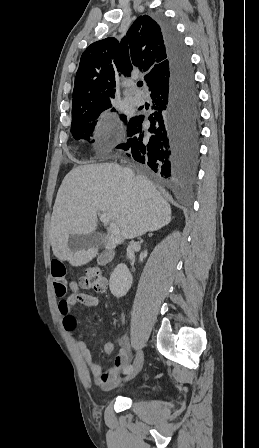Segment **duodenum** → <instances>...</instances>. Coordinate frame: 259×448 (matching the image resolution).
Masks as SVG:
<instances>
[{
  "label": "duodenum",
  "instance_id": "1",
  "mask_svg": "<svg viewBox=\"0 0 259 448\" xmlns=\"http://www.w3.org/2000/svg\"><path fill=\"white\" fill-rule=\"evenodd\" d=\"M114 257V252L111 249L103 251L98 257V263L102 266L108 265Z\"/></svg>",
  "mask_w": 259,
  "mask_h": 448
}]
</instances>
